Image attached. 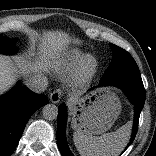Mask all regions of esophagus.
Here are the masks:
<instances>
[{"mask_svg":"<svg viewBox=\"0 0 156 156\" xmlns=\"http://www.w3.org/2000/svg\"><path fill=\"white\" fill-rule=\"evenodd\" d=\"M60 98H61V93L60 91L56 90L54 91L53 93H51L50 95V100L51 102L53 103H58L60 101Z\"/></svg>","mask_w":156,"mask_h":156,"instance_id":"esophagus-1","label":"esophagus"}]
</instances>
